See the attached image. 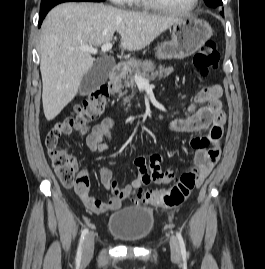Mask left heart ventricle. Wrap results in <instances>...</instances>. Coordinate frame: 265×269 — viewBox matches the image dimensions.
I'll return each mask as SVG.
<instances>
[{
  "label": "left heart ventricle",
  "instance_id": "1",
  "mask_svg": "<svg viewBox=\"0 0 265 269\" xmlns=\"http://www.w3.org/2000/svg\"><path fill=\"white\" fill-rule=\"evenodd\" d=\"M160 1L172 7L187 8L188 6H190L193 0H160Z\"/></svg>",
  "mask_w": 265,
  "mask_h": 269
}]
</instances>
